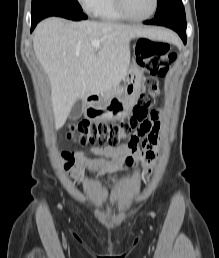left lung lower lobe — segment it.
I'll list each match as a JSON object with an SVG mask.
<instances>
[{
    "label": "left lung lower lobe",
    "instance_id": "0a47b994",
    "mask_svg": "<svg viewBox=\"0 0 219 258\" xmlns=\"http://www.w3.org/2000/svg\"><path fill=\"white\" fill-rule=\"evenodd\" d=\"M144 24L160 25L171 28L179 34L184 44H186V15L169 14L160 18L145 21Z\"/></svg>",
    "mask_w": 219,
    "mask_h": 258
}]
</instances>
